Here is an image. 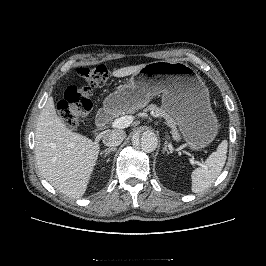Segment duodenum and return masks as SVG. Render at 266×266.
<instances>
[{
	"instance_id": "obj_1",
	"label": "duodenum",
	"mask_w": 266,
	"mask_h": 266,
	"mask_svg": "<svg viewBox=\"0 0 266 266\" xmlns=\"http://www.w3.org/2000/svg\"><path fill=\"white\" fill-rule=\"evenodd\" d=\"M115 114V108L110 104H107L104 108H102L96 115V124L98 128L105 127L111 120Z\"/></svg>"
}]
</instances>
